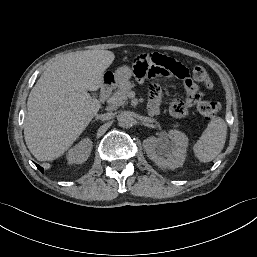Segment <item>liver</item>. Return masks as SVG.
<instances>
[{"label": "liver", "instance_id": "liver-1", "mask_svg": "<svg viewBox=\"0 0 257 257\" xmlns=\"http://www.w3.org/2000/svg\"><path fill=\"white\" fill-rule=\"evenodd\" d=\"M115 59L107 50L68 53L42 73L27 101L24 138L38 161L60 157L77 140L100 109L88 91L103 85Z\"/></svg>", "mask_w": 257, "mask_h": 257}]
</instances>
